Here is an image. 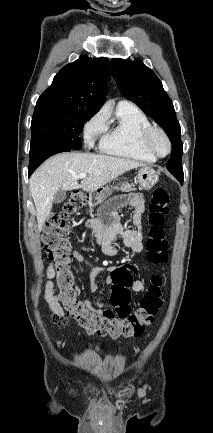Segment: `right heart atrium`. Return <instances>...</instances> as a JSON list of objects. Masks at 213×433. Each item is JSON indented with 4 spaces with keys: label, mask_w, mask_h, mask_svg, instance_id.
Segmentation results:
<instances>
[{
    "label": "right heart atrium",
    "mask_w": 213,
    "mask_h": 433,
    "mask_svg": "<svg viewBox=\"0 0 213 433\" xmlns=\"http://www.w3.org/2000/svg\"><path fill=\"white\" fill-rule=\"evenodd\" d=\"M106 118L103 112H97L91 116L83 127L84 141L88 146H93L105 129Z\"/></svg>",
    "instance_id": "d8ad5b80"
}]
</instances>
